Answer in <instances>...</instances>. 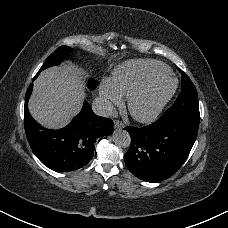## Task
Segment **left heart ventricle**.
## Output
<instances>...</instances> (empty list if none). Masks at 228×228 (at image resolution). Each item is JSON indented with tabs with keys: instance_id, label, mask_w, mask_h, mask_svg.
Wrapping results in <instances>:
<instances>
[{
	"instance_id": "b2bd125f",
	"label": "left heart ventricle",
	"mask_w": 228,
	"mask_h": 228,
	"mask_svg": "<svg viewBox=\"0 0 228 228\" xmlns=\"http://www.w3.org/2000/svg\"><path fill=\"white\" fill-rule=\"evenodd\" d=\"M169 91V85H164L157 91L146 93L137 103V110L147 113Z\"/></svg>"
}]
</instances>
